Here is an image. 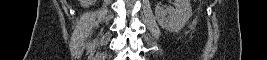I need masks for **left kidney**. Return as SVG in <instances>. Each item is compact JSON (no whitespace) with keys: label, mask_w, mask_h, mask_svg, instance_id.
<instances>
[{"label":"left kidney","mask_w":267,"mask_h":60,"mask_svg":"<svg viewBox=\"0 0 267 60\" xmlns=\"http://www.w3.org/2000/svg\"><path fill=\"white\" fill-rule=\"evenodd\" d=\"M191 15L192 9L189 0H175V8L170 9H164L159 4L155 6L157 22L169 32L180 31Z\"/></svg>","instance_id":"5707ae66"}]
</instances>
